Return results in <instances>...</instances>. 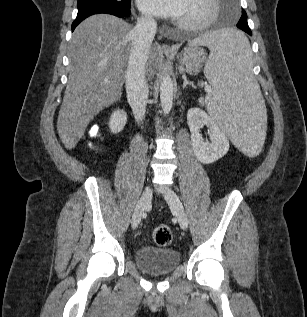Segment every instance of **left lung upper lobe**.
<instances>
[{"mask_svg":"<svg viewBox=\"0 0 307 317\" xmlns=\"http://www.w3.org/2000/svg\"><path fill=\"white\" fill-rule=\"evenodd\" d=\"M245 21L247 22V14L244 10H242V16L237 24V27H240V24H243L241 22H245Z\"/></svg>","mask_w":307,"mask_h":317,"instance_id":"5c2ea615","label":"left lung upper lobe"}]
</instances>
